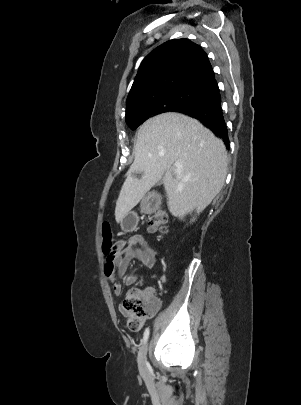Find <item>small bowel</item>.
<instances>
[{"label": "small bowel", "mask_w": 301, "mask_h": 405, "mask_svg": "<svg viewBox=\"0 0 301 405\" xmlns=\"http://www.w3.org/2000/svg\"><path fill=\"white\" fill-rule=\"evenodd\" d=\"M115 248L113 259L105 263V274L112 282L115 295L122 293L123 285H132L137 281L135 275L127 274V268L132 260H138L147 268H153L162 260L160 253L141 234L117 241ZM149 291L153 292L152 289ZM159 306L158 301V308Z\"/></svg>", "instance_id": "small-bowel-1"}]
</instances>
